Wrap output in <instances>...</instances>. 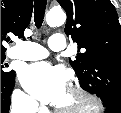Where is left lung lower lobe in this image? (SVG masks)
Listing matches in <instances>:
<instances>
[{"instance_id": "left-lung-lower-lobe-1", "label": "left lung lower lobe", "mask_w": 121, "mask_h": 113, "mask_svg": "<svg viewBox=\"0 0 121 113\" xmlns=\"http://www.w3.org/2000/svg\"><path fill=\"white\" fill-rule=\"evenodd\" d=\"M106 113H121V111L120 110H116V109L107 108L106 109Z\"/></svg>"}]
</instances>
